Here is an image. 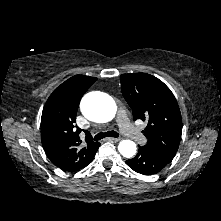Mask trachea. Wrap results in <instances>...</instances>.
I'll return each instance as SVG.
<instances>
[{"label":"trachea","mask_w":221,"mask_h":221,"mask_svg":"<svg viewBox=\"0 0 221 221\" xmlns=\"http://www.w3.org/2000/svg\"><path fill=\"white\" fill-rule=\"evenodd\" d=\"M118 136H119V134L115 131L100 132L94 137V140L98 141V140H101L105 137H118Z\"/></svg>","instance_id":"trachea-1"}]
</instances>
